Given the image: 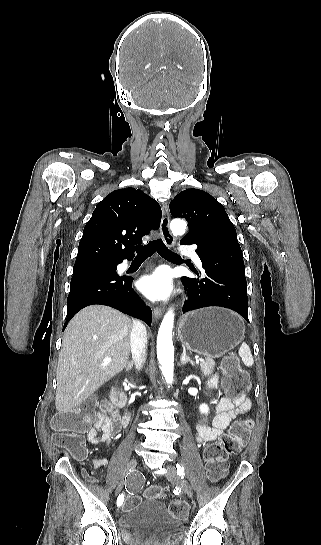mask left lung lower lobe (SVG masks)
Returning <instances> with one entry per match:
<instances>
[{"label":"left lung lower lobe","mask_w":321,"mask_h":545,"mask_svg":"<svg viewBox=\"0 0 321 545\" xmlns=\"http://www.w3.org/2000/svg\"><path fill=\"white\" fill-rule=\"evenodd\" d=\"M180 243L198 246L196 253L205 269L204 278H181L188 290L183 313L208 306H220L238 312L249 322L245 267L237 234L213 235Z\"/></svg>","instance_id":"0a47b994"}]
</instances>
